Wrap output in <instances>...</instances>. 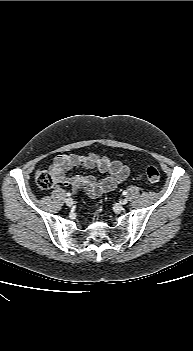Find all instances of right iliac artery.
<instances>
[{
    "label": "right iliac artery",
    "instance_id": "right-iliac-artery-1",
    "mask_svg": "<svg viewBox=\"0 0 193 351\" xmlns=\"http://www.w3.org/2000/svg\"><path fill=\"white\" fill-rule=\"evenodd\" d=\"M66 196H71V193H67Z\"/></svg>",
    "mask_w": 193,
    "mask_h": 351
}]
</instances>
